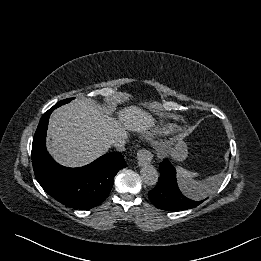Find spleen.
Here are the masks:
<instances>
[{
  "mask_svg": "<svg viewBox=\"0 0 261 261\" xmlns=\"http://www.w3.org/2000/svg\"><path fill=\"white\" fill-rule=\"evenodd\" d=\"M177 170V175L180 179H183V180H191L193 179L194 177H197L198 176V173H194V172H190V171H187L181 167H177L176 168ZM209 185H216V183L214 181L212 182H209L208 184L205 185V187H208ZM202 196H198V195H192V198L193 199H196V200H199Z\"/></svg>",
  "mask_w": 261,
  "mask_h": 261,
  "instance_id": "1",
  "label": "spleen"
}]
</instances>
